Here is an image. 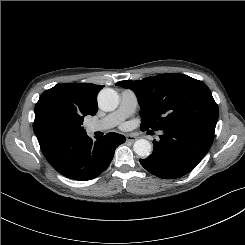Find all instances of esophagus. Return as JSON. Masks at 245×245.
<instances>
[{
	"mask_svg": "<svg viewBox=\"0 0 245 245\" xmlns=\"http://www.w3.org/2000/svg\"><path fill=\"white\" fill-rule=\"evenodd\" d=\"M127 141L134 142L137 137L134 134H126Z\"/></svg>",
	"mask_w": 245,
	"mask_h": 245,
	"instance_id": "1",
	"label": "esophagus"
}]
</instances>
